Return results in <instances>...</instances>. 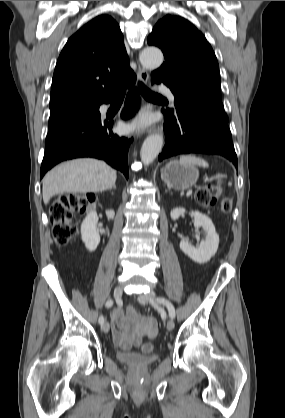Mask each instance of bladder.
<instances>
[{"mask_svg": "<svg viewBox=\"0 0 285 418\" xmlns=\"http://www.w3.org/2000/svg\"><path fill=\"white\" fill-rule=\"evenodd\" d=\"M118 358L125 364L138 367L148 366L156 360L152 353H139L132 349L119 351Z\"/></svg>", "mask_w": 285, "mask_h": 418, "instance_id": "31cf9c89", "label": "bladder"}]
</instances>
